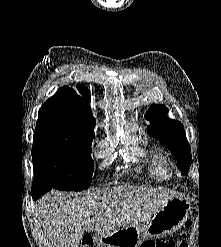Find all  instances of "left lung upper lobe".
Listing matches in <instances>:
<instances>
[{"instance_id":"1","label":"left lung upper lobe","mask_w":221,"mask_h":247,"mask_svg":"<svg viewBox=\"0 0 221 247\" xmlns=\"http://www.w3.org/2000/svg\"><path fill=\"white\" fill-rule=\"evenodd\" d=\"M168 109L161 104L151 106L145 117L151 121L148 133L164 144L175 155L181 173L187 175L192 157L181 122L167 117Z\"/></svg>"}]
</instances>
